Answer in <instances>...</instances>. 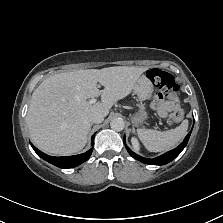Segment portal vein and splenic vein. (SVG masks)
I'll list each match as a JSON object with an SVG mask.
<instances>
[{"label":"portal vein and splenic vein","instance_id":"18ae733b","mask_svg":"<svg viewBox=\"0 0 223 223\" xmlns=\"http://www.w3.org/2000/svg\"><path fill=\"white\" fill-rule=\"evenodd\" d=\"M96 102V99L95 98H92L90 100H88L87 104L88 105H92ZM153 130H158V125H153Z\"/></svg>","mask_w":223,"mask_h":223}]
</instances>
